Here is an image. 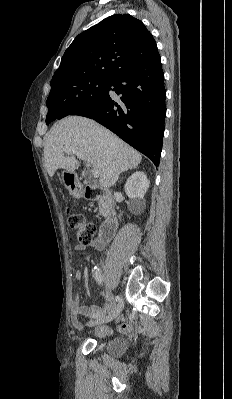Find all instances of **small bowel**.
Returning <instances> with one entry per match:
<instances>
[{
	"mask_svg": "<svg viewBox=\"0 0 232 399\" xmlns=\"http://www.w3.org/2000/svg\"><path fill=\"white\" fill-rule=\"evenodd\" d=\"M106 244L104 242H79L77 244L78 250H84L88 247L102 250ZM85 262L84 260L78 261V271L77 276L82 278L84 276ZM121 312V307L107 305L104 307L93 306V305H81V299L76 296L71 299L69 306V318L70 323L77 332H84L87 326L80 320L79 315L83 314L85 316L91 317L96 313L107 314L112 317H118ZM88 327L92 330L93 334L96 336L107 335L114 330L123 331H136L142 328L140 322H118L115 324H103L94 320L88 322Z\"/></svg>",
	"mask_w": 232,
	"mask_h": 399,
	"instance_id": "small-bowel-1",
	"label": "small bowel"
}]
</instances>
